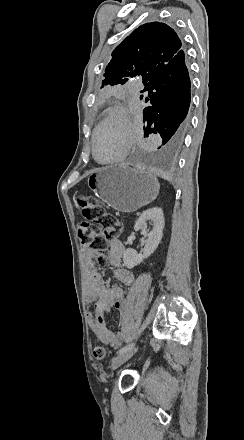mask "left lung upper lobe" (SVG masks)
I'll list each match as a JSON object with an SVG mask.
<instances>
[{"label": "left lung upper lobe", "mask_w": 244, "mask_h": 440, "mask_svg": "<svg viewBox=\"0 0 244 440\" xmlns=\"http://www.w3.org/2000/svg\"><path fill=\"white\" fill-rule=\"evenodd\" d=\"M184 58L181 40L171 27L160 22L143 24L112 52L102 87L123 85L133 77H141L146 85L163 67Z\"/></svg>", "instance_id": "obj_1"}]
</instances>
